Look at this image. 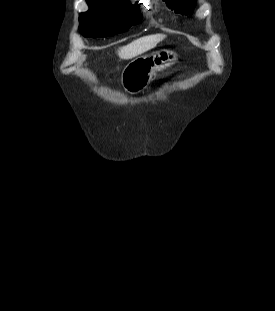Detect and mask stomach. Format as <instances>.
Here are the masks:
<instances>
[{
	"instance_id": "obj_1",
	"label": "stomach",
	"mask_w": 275,
	"mask_h": 311,
	"mask_svg": "<svg viewBox=\"0 0 275 311\" xmlns=\"http://www.w3.org/2000/svg\"><path fill=\"white\" fill-rule=\"evenodd\" d=\"M177 60V53L171 50H161L136 58L122 71L121 85L128 93L137 94L147 87L155 71L169 67Z\"/></svg>"
}]
</instances>
